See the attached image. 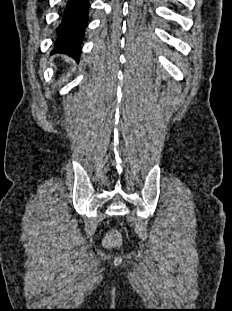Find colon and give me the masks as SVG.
<instances>
[{"label": "colon", "mask_w": 232, "mask_h": 311, "mask_svg": "<svg viewBox=\"0 0 232 311\" xmlns=\"http://www.w3.org/2000/svg\"><path fill=\"white\" fill-rule=\"evenodd\" d=\"M121 243V236L118 231H109L104 238V245L107 248H115Z\"/></svg>", "instance_id": "colon-1"}]
</instances>
